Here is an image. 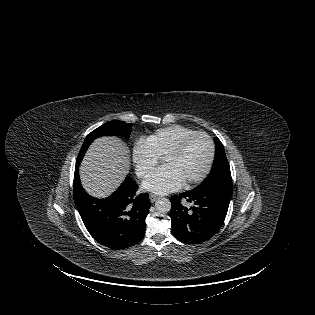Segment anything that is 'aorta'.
<instances>
[{"mask_svg":"<svg viewBox=\"0 0 315 315\" xmlns=\"http://www.w3.org/2000/svg\"><path fill=\"white\" fill-rule=\"evenodd\" d=\"M155 208L160 213H167L171 209V202L167 198H159L155 202Z\"/></svg>","mask_w":315,"mask_h":315,"instance_id":"obj_1","label":"aorta"}]
</instances>
